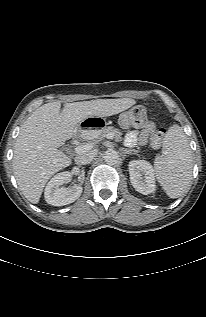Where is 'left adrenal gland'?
Masks as SVG:
<instances>
[{
  "label": "left adrenal gland",
  "mask_w": 206,
  "mask_h": 317,
  "mask_svg": "<svg viewBox=\"0 0 206 317\" xmlns=\"http://www.w3.org/2000/svg\"><path fill=\"white\" fill-rule=\"evenodd\" d=\"M135 153V152H137L136 150H134V149H126V148H123V153L124 154H132V153Z\"/></svg>",
  "instance_id": "1"
}]
</instances>
